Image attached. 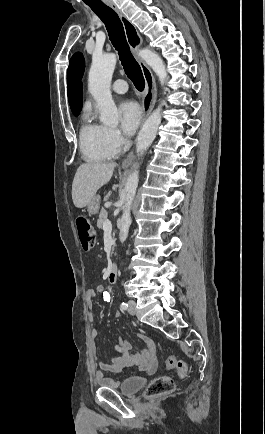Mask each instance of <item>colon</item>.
<instances>
[{"instance_id": "obj_1", "label": "colon", "mask_w": 265, "mask_h": 434, "mask_svg": "<svg viewBox=\"0 0 265 434\" xmlns=\"http://www.w3.org/2000/svg\"><path fill=\"white\" fill-rule=\"evenodd\" d=\"M77 235L84 251L91 250L97 242V232L92 220L87 216L78 217L75 221ZM168 369L176 370L179 377L187 373L186 364L175 356H170L166 362ZM174 380L167 375H158L151 382H148L146 393L149 396L171 393L174 390Z\"/></svg>"}]
</instances>
